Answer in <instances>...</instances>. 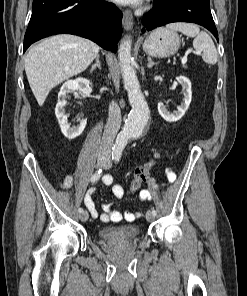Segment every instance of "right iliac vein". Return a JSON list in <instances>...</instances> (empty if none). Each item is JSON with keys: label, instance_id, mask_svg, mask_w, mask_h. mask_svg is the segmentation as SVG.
Wrapping results in <instances>:
<instances>
[{"label": "right iliac vein", "instance_id": "1", "mask_svg": "<svg viewBox=\"0 0 247 296\" xmlns=\"http://www.w3.org/2000/svg\"><path fill=\"white\" fill-rule=\"evenodd\" d=\"M105 163V156L104 155H99L97 158V165L102 166ZM80 220L85 222L88 219V212L84 211L80 214L79 216Z\"/></svg>", "mask_w": 247, "mask_h": 296}]
</instances>
